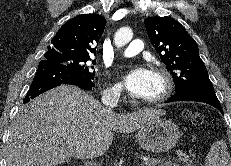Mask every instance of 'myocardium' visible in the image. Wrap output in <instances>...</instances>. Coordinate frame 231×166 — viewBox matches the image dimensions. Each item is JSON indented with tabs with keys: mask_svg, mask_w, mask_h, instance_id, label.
<instances>
[{
	"mask_svg": "<svg viewBox=\"0 0 231 166\" xmlns=\"http://www.w3.org/2000/svg\"><path fill=\"white\" fill-rule=\"evenodd\" d=\"M153 73L160 79L161 88L155 96L143 99V102L146 104H158L163 102L170 96L173 90V78L168 70L163 67H156Z\"/></svg>",
	"mask_w": 231,
	"mask_h": 166,
	"instance_id": "obj_1",
	"label": "myocardium"
}]
</instances>
